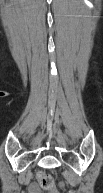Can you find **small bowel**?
I'll list each match as a JSON object with an SVG mask.
<instances>
[{
    "label": "small bowel",
    "mask_w": 103,
    "mask_h": 193,
    "mask_svg": "<svg viewBox=\"0 0 103 193\" xmlns=\"http://www.w3.org/2000/svg\"><path fill=\"white\" fill-rule=\"evenodd\" d=\"M29 191H30V193H38L39 188H38V186L36 184H31L29 186Z\"/></svg>",
    "instance_id": "obj_1"
}]
</instances>
